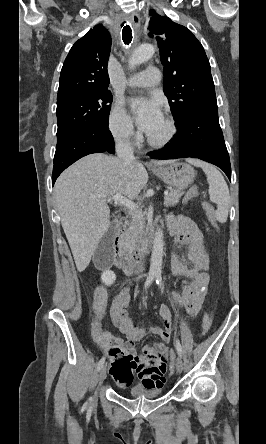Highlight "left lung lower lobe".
Masks as SVG:
<instances>
[{
  "mask_svg": "<svg viewBox=\"0 0 266 444\" xmlns=\"http://www.w3.org/2000/svg\"><path fill=\"white\" fill-rule=\"evenodd\" d=\"M178 133L153 159L199 158L220 167L231 181L229 154L218 120V107L197 108L176 123Z\"/></svg>",
  "mask_w": 266,
  "mask_h": 444,
  "instance_id": "obj_1",
  "label": "left lung lower lobe"
}]
</instances>
